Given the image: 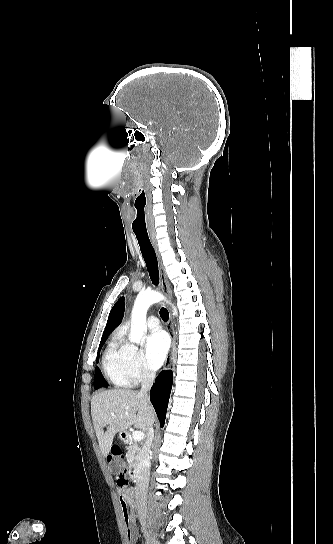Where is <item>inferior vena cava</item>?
<instances>
[{
    "label": "inferior vena cava",
    "mask_w": 333,
    "mask_h": 544,
    "mask_svg": "<svg viewBox=\"0 0 333 544\" xmlns=\"http://www.w3.org/2000/svg\"><path fill=\"white\" fill-rule=\"evenodd\" d=\"M155 372L151 369H144L141 381V395H146L154 383ZM154 438V429L152 425L148 428L147 439L139 454L137 467L135 499L137 513L140 519L146 518L147 513V490L150 477V448Z\"/></svg>",
    "instance_id": "602c4592"
}]
</instances>
